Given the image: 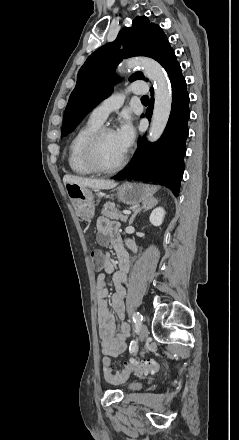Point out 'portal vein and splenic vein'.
<instances>
[{
  "mask_svg": "<svg viewBox=\"0 0 239 440\" xmlns=\"http://www.w3.org/2000/svg\"><path fill=\"white\" fill-rule=\"evenodd\" d=\"M122 211H123V212L121 213L122 215H129V214H131V211H130V210L123 209Z\"/></svg>",
  "mask_w": 239,
  "mask_h": 440,
  "instance_id": "obj_1",
  "label": "portal vein and splenic vein"
}]
</instances>
